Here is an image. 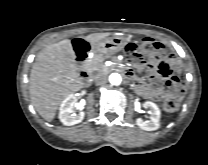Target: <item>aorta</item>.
I'll return each mask as SVG.
<instances>
[{
    "label": "aorta",
    "mask_w": 208,
    "mask_h": 165,
    "mask_svg": "<svg viewBox=\"0 0 208 165\" xmlns=\"http://www.w3.org/2000/svg\"><path fill=\"white\" fill-rule=\"evenodd\" d=\"M121 81H122V78H121L120 74H118V73H112L109 76V82L112 85H120L121 84Z\"/></svg>",
    "instance_id": "1"
}]
</instances>
